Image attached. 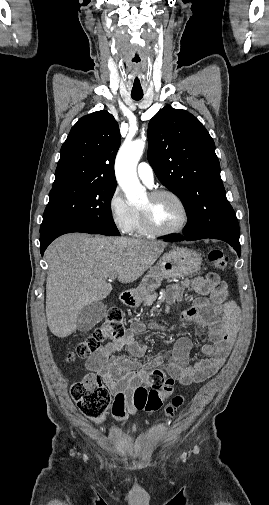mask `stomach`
I'll list each match as a JSON object with an SVG mask.
<instances>
[{
  "mask_svg": "<svg viewBox=\"0 0 269 505\" xmlns=\"http://www.w3.org/2000/svg\"><path fill=\"white\" fill-rule=\"evenodd\" d=\"M202 264L201 254L186 248L174 249L164 254L156 265L144 276L138 288L140 296L157 289L163 279H181L196 273ZM139 299L135 300L138 305Z\"/></svg>",
  "mask_w": 269,
  "mask_h": 505,
  "instance_id": "0dacf381",
  "label": "stomach"
}]
</instances>
